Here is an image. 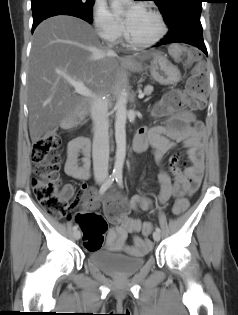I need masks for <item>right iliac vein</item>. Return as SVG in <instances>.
Masks as SVG:
<instances>
[{
    "instance_id": "obj_1",
    "label": "right iliac vein",
    "mask_w": 238,
    "mask_h": 315,
    "mask_svg": "<svg viewBox=\"0 0 238 315\" xmlns=\"http://www.w3.org/2000/svg\"><path fill=\"white\" fill-rule=\"evenodd\" d=\"M101 182H102V180H99V181H98V183H101ZM73 235H74V238H75L76 240H79L80 237H81V232H80L79 230H75L74 233H73Z\"/></svg>"
}]
</instances>
